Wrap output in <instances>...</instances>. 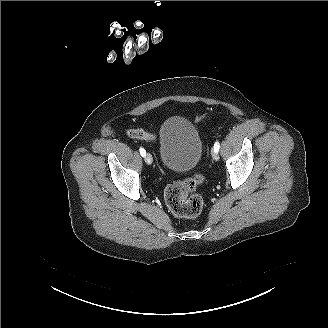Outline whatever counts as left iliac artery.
Masks as SVG:
<instances>
[{"label": "left iliac artery", "mask_w": 328, "mask_h": 328, "mask_svg": "<svg viewBox=\"0 0 328 328\" xmlns=\"http://www.w3.org/2000/svg\"><path fill=\"white\" fill-rule=\"evenodd\" d=\"M219 148H220L219 142H216V143L214 144V151H215V152H218V151H219Z\"/></svg>", "instance_id": "44dca946"}]
</instances>
